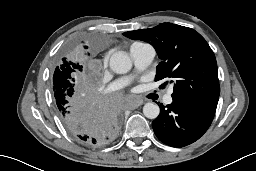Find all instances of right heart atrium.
Wrapping results in <instances>:
<instances>
[{
  "instance_id": "1",
  "label": "right heart atrium",
  "mask_w": 256,
  "mask_h": 171,
  "mask_svg": "<svg viewBox=\"0 0 256 171\" xmlns=\"http://www.w3.org/2000/svg\"><path fill=\"white\" fill-rule=\"evenodd\" d=\"M106 65V60H104L101 64L100 67L103 68Z\"/></svg>"
}]
</instances>
